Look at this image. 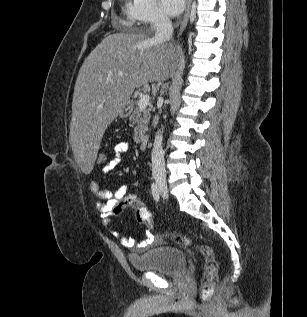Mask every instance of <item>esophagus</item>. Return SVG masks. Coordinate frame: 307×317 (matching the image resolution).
Segmentation results:
<instances>
[{
	"label": "esophagus",
	"mask_w": 307,
	"mask_h": 317,
	"mask_svg": "<svg viewBox=\"0 0 307 317\" xmlns=\"http://www.w3.org/2000/svg\"><path fill=\"white\" fill-rule=\"evenodd\" d=\"M191 3H192V0L186 1V9H185L184 15L182 17V20L180 21L179 35L182 34V32L184 31V29L187 26V23L189 20V15H190V10H191Z\"/></svg>",
	"instance_id": "obj_1"
}]
</instances>
